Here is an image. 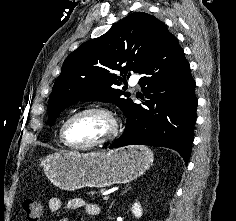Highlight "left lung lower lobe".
<instances>
[{"instance_id": "0a47b994", "label": "left lung lower lobe", "mask_w": 236, "mask_h": 221, "mask_svg": "<svg viewBox=\"0 0 236 221\" xmlns=\"http://www.w3.org/2000/svg\"><path fill=\"white\" fill-rule=\"evenodd\" d=\"M147 98L125 111L124 133L109 148L132 144L167 147L188 162L194 140L198 100L190 65L177 39L167 31L158 49L140 71Z\"/></svg>"}]
</instances>
